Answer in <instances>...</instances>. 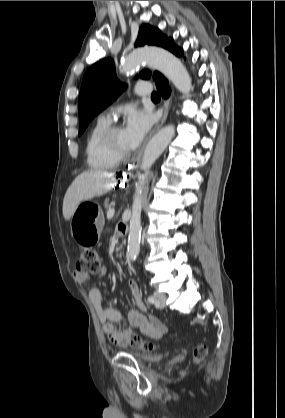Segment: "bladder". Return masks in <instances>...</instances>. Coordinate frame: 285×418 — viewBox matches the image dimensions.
<instances>
[{"label": "bladder", "mask_w": 285, "mask_h": 418, "mask_svg": "<svg viewBox=\"0 0 285 418\" xmlns=\"http://www.w3.org/2000/svg\"><path fill=\"white\" fill-rule=\"evenodd\" d=\"M131 355L141 363H154L161 359L160 355H153L152 353L145 351L133 352Z\"/></svg>", "instance_id": "obj_1"}]
</instances>
